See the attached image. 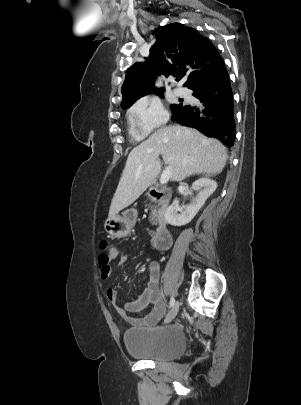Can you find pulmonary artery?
<instances>
[{
  "instance_id": "obj_1",
  "label": "pulmonary artery",
  "mask_w": 301,
  "mask_h": 405,
  "mask_svg": "<svg viewBox=\"0 0 301 405\" xmlns=\"http://www.w3.org/2000/svg\"><path fill=\"white\" fill-rule=\"evenodd\" d=\"M175 93L179 96H184L187 94V91L184 88H177L175 89Z\"/></svg>"
}]
</instances>
